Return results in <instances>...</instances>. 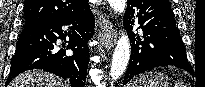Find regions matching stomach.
<instances>
[{
  "instance_id": "0dacf381",
  "label": "stomach",
  "mask_w": 205,
  "mask_h": 87,
  "mask_svg": "<svg viewBox=\"0 0 205 87\" xmlns=\"http://www.w3.org/2000/svg\"><path fill=\"white\" fill-rule=\"evenodd\" d=\"M169 79L162 72L151 71L139 76L131 87H168Z\"/></svg>"
}]
</instances>
